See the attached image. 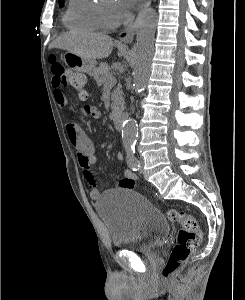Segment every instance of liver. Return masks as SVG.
<instances>
[{
	"mask_svg": "<svg viewBox=\"0 0 245 300\" xmlns=\"http://www.w3.org/2000/svg\"><path fill=\"white\" fill-rule=\"evenodd\" d=\"M49 48H59L75 53L86 59H102L108 57L113 49V40L100 33L68 32L54 40Z\"/></svg>",
	"mask_w": 245,
	"mask_h": 300,
	"instance_id": "6515ba94",
	"label": "liver"
}]
</instances>
